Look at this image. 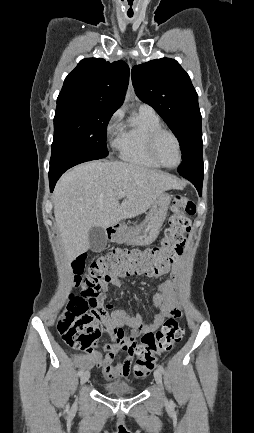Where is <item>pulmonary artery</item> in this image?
I'll use <instances>...</instances> for the list:
<instances>
[{
    "label": "pulmonary artery",
    "mask_w": 254,
    "mask_h": 433,
    "mask_svg": "<svg viewBox=\"0 0 254 433\" xmlns=\"http://www.w3.org/2000/svg\"><path fill=\"white\" fill-rule=\"evenodd\" d=\"M140 110L153 111L152 107L147 104H141L139 107Z\"/></svg>",
    "instance_id": "1"
}]
</instances>
